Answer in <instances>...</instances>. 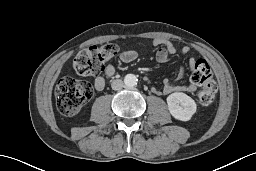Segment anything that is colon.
I'll return each mask as SVG.
<instances>
[{
    "label": "colon",
    "instance_id": "5ec220e1",
    "mask_svg": "<svg viewBox=\"0 0 256 171\" xmlns=\"http://www.w3.org/2000/svg\"><path fill=\"white\" fill-rule=\"evenodd\" d=\"M117 53V46L109 43L101 47L93 46L82 50L73 60V70L81 76H98L104 69V64ZM191 80L201 86L198 100L202 105L213 103L217 93V84L208 63L199 59L194 64ZM93 96L92 86L84 81L70 77L62 78L56 86V102L59 111L64 116L76 114Z\"/></svg>",
    "mask_w": 256,
    "mask_h": 171
}]
</instances>
